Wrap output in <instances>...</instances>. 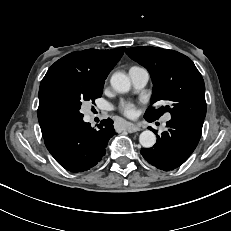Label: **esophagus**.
<instances>
[{"label": "esophagus", "mask_w": 231, "mask_h": 231, "mask_svg": "<svg viewBox=\"0 0 231 231\" xmlns=\"http://www.w3.org/2000/svg\"><path fill=\"white\" fill-rule=\"evenodd\" d=\"M125 130L129 133H133V132H137L140 130V128L137 125L134 124H127V126L125 127Z\"/></svg>", "instance_id": "34e87169"}]
</instances>
